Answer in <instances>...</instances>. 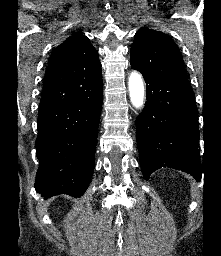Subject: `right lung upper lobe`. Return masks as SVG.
I'll list each match as a JSON object with an SVG mask.
<instances>
[{"mask_svg":"<svg viewBox=\"0 0 221 256\" xmlns=\"http://www.w3.org/2000/svg\"><path fill=\"white\" fill-rule=\"evenodd\" d=\"M102 87L97 50L85 35L74 33L52 51L39 111L63 105Z\"/></svg>","mask_w":221,"mask_h":256,"instance_id":"1","label":"right lung upper lobe"}]
</instances>
